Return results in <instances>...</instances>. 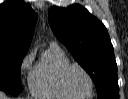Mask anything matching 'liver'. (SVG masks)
I'll return each mask as SVG.
<instances>
[{
	"label": "liver",
	"instance_id": "6515ba94",
	"mask_svg": "<svg viewBox=\"0 0 128 99\" xmlns=\"http://www.w3.org/2000/svg\"><path fill=\"white\" fill-rule=\"evenodd\" d=\"M0 99H8L7 96L0 91Z\"/></svg>",
	"mask_w": 128,
	"mask_h": 99
}]
</instances>
